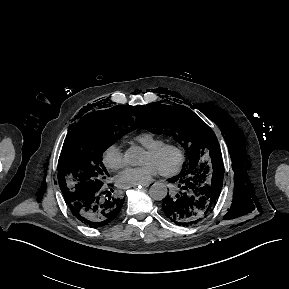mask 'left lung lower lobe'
I'll list each match as a JSON object with an SVG mask.
<instances>
[{"label": "left lung lower lobe", "mask_w": 289, "mask_h": 289, "mask_svg": "<svg viewBox=\"0 0 289 289\" xmlns=\"http://www.w3.org/2000/svg\"><path fill=\"white\" fill-rule=\"evenodd\" d=\"M224 168L207 174L199 169L169 179L176 185L174 193L163 199L167 218L178 225H195L205 219L216 205L223 182Z\"/></svg>", "instance_id": "left-lung-lower-lobe-1"}]
</instances>
